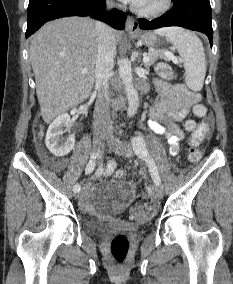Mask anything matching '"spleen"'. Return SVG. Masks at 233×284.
<instances>
[{"mask_svg": "<svg viewBox=\"0 0 233 284\" xmlns=\"http://www.w3.org/2000/svg\"><path fill=\"white\" fill-rule=\"evenodd\" d=\"M178 51L185 69V83L193 91H201L206 75V59L201 40L192 32L180 27L159 29Z\"/></svg>", "mask_w": 233, "mask_h": 284, "instance_id": "spleen-1", "label": "spleen"}]
</instances>
